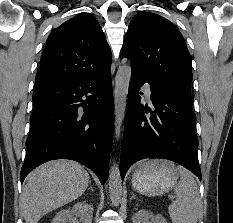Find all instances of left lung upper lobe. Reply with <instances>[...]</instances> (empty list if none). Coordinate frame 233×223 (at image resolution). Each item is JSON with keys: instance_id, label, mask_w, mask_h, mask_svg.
Wrapping results in <instances>:
<instances>
[{"instance_id": "5c2ea615", "label": "left lung upper lobe", "mask_w": 233, "mask_h": 223, "mask_svg": "<svg viewBox=\"0 0 233 223\" xmlns=\"http://www.w3.org/2000/svg\"><path fill=\"white\" fill-rule=\"evenodd\" d=\"M123 54L152 86L191 95L192 59L182 34L169 20L150 12L135 15Z\"/></svg>"}]
</instances>
